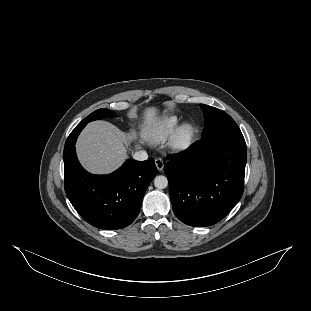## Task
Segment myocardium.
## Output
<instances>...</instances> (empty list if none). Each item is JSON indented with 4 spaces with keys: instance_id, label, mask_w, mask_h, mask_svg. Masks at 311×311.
<instances>
[{
    "instance_id": "myocardium-1",
    "label": "myocardium",
    "mask_w": 311,
    "mask_h": 311,
    "mask_svg": "<svg viewBox=\"0 0 311 311\" xmlns=\"http://www.w3.org/2000/svg\"><path fill=\"white\" fill-rule=\"evenodd\" d=\"M195 136V129L191 124L181 125L173 137V147L176 150H185L193 142Z\"/></svg>"
}]
</instances>
